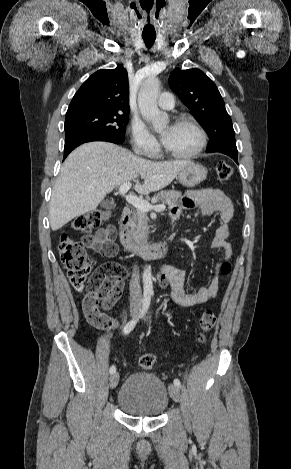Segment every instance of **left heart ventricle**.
<instances>
[{
	"label": "left heart ventricle",
	"mask_w": 291,
	"mask_h": 469,
	"mask_svg": "<svg viewBox=\"0 0 291 469\" xmlns=\"http://www.w3.org/2000/svg\"><path fill=\"white\" fill-rule=\"evenodd\" d=\"M169 131L164 145L171 151L186 153L195 148L198 143V134L189 124H174L162 130V134Z\"/></svg>",
	"instance_id": "obj_1"
}]
</instances>
